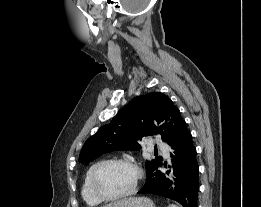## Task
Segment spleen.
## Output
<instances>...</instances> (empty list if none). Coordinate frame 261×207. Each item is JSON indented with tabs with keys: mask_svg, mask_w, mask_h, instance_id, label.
<instances>
[{
	"mask_svg": "<svg viewBox=\"0 0 261 207\" xmlns=\"http://www.w3.org/2000/svg\"><path fill=\"white\" fill-rule=\"evenodd\" d=\"M168 207H177L176 205L172 204V205H169Z\"/></svg>",
	"mask_w": 261,
	"mask_h": 207,
	"instance_id": "spleen-1",
	"label": "spleen"
}]
</instances>
